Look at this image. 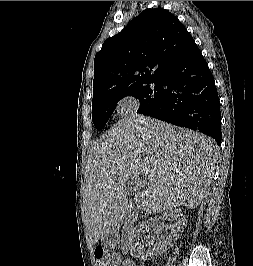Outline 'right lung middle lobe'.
<instances>
[{
    "instance_id": "1",
    "label": "right lung middle lobe",
    "mask_w": 253,
    "mask_h": 266,
    "mask_svg": "<svg viewBox=\"0 0 253 266\" xmlns=\"http://www.w3.org/2000/svg\"><path fill=\"white\" fill-rule=\"evenodd\" d=\"M163 89L162 80H156L130 90L108 95L92 103V121L94 126L98 130L103 129L109 117L112 115L117 102L126 96H133L140 100L138 113L144 115L149 114L160 104Z\"/></svg>"
}]
</instances>
